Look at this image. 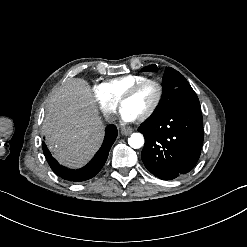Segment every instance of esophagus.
I'll return each instance as SVG.
<instances>
[{
	"instance_id": "obj_1",
	"label": "esophagus",
	"mask_w": 247,
	"mask_h": 247,
	"mask_svg": "<svg viewBox=\"0 0 247 247\" xmlns=\"http://www.w3.org/2000/svg\"><path fill=\"white\" fill-rule=\"evenodd\" d=\"M120 130H121V134L125 136L130 135L134 131L133 128L128 126H122Z\"/></svg>"
}]
</instances>
